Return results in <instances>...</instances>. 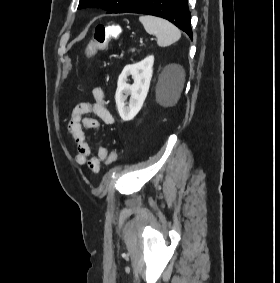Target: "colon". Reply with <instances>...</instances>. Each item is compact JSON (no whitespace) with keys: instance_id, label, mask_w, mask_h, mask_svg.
Wrapping results in <instances>:
<instances>
[{"instance_id":"1","label":"colon","mask_w":280,"mask_h":283,"mask_svg":"<svg viewBox=\"0 0 280 283\" xmlns=\"http://www.w3.org/2000/svg\"><path fill=\"white\" fill-rule=\"evenodd\" d=\"M122 27L120 25L99 24L95 27L92 39L89 41L85 56L92 57L97 51L104 49L108 42L120 35ZM117 160V152H112L108 158V164H113Z\"/></svg>"}]
</instances>
